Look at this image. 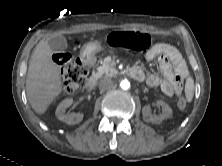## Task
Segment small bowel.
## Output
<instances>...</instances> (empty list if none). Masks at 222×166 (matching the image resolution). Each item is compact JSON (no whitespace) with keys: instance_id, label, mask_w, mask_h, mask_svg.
<instances>
[{"instance_id":"1","label":"small bowel","mask_w":222,"mask_h":166,"mask_svg":"<svg viewBox=\"0 0 222 166\" xmlns=\"http://www.w3.org/2000/svg\"><path fill=\"white\" fill-rule=\"evenodd\" d=\"M148 61L157 60L164 79L142 68H134L141 74L138 80H145L149 87H160L167 96H179L182 93L183 81L188 76V68L179 51L172 45L159 43L145 53Z\"/></svg>"}]
</instances>
